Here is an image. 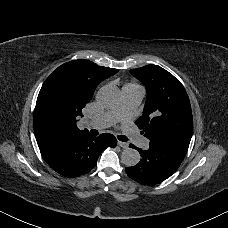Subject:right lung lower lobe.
I'll use <instances>...</instances> for the list:
<instances>
[{
    "instance_id": "98d812e1",
    "label": "right lung lower lobe",
    "mask_w": 228,
    "mask_h": 228,
    "mask_svg": "<svg viewBox=\"0 0 228 228\" xmlns=\"http://www.w3.org/2000/svg\"><path fill=\"white\" fill-rule=\"evenodd\" d=\"M116 138L109 133L99 137L87 132L62 138L40 148L43 159L57 173L76 177L95 167L97 159L106 147H116Z\"/></svg>"
}]
</instances>
